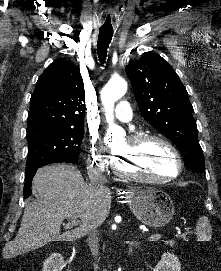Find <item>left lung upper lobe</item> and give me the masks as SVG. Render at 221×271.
Instances as JSON below:
<instances>
[{"mask_svg": "<svg viewBox=\"0 0 221 271\" xmlns=\"http://www.w3.org/2000/svg\"><path fill=\"white\" fill-rule=\"evenodd\" d=\"M126 73L144 119L176 144L187 168L205 173L193 107L175 70L160 55L145 52Z\"/></svg>", "mask_w": 221, "mask_h": 271, "instance_id": "5c2ea615", "label": "left lung upper lobe"}]
</instances>
